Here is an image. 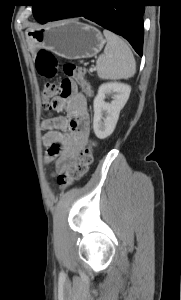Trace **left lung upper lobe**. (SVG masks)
Wrapping results in <instances>:
<instances>
[{
	"label": "left lung upper lobe",
	"instance_id": "left-lung-upper-lobe-1",
	"mask_svg": "<svg viewBox=\"0 0 181 300\" xmlns=\"http://www.w3.org/2000/svg\"><path fill=\"white\" fill-rule=\"evenodd\" d=\"M58 7L59 6H42L36 3L33 5L32 9L33 15L39 23L43 24L56 12Z\"/></svg>",
	"mask_w": 181,
	"mask_h": 300
}]
</instances>
